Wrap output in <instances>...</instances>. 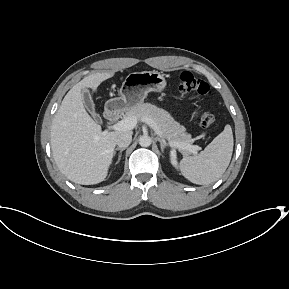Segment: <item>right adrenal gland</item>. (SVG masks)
<instances>
[{"instance_id":"1","label":"right adrenal gland","mask_w":289,"mask_h":289,"mask_svg":"<svg viewBox=\"0 0 289 289\" xmlns=\"http://www.w3.org/2000/svg\"><path fill=\"white\" fill-rule=\"evenodd\" d=\"M126 148H116L114 151V156L116 155L117 151H119V157L122 156V152L125 150Z\"/></svg>"}]
</instances>
